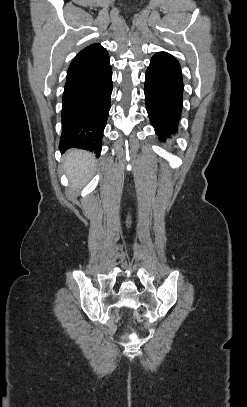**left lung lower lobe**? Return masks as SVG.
Here are the masks:
<instances>
[{"mask_svg": "<svg viewBox=\"0 0 247 407\" xmlns=\"http://www.w3.org/2000/svg\"><path fill=\"white\" fill-rule=\"evenodd\" d=\"M182 93V73L177 59L169 53L157 52L145 76V101L150 122L162 142L177 131Z\"/></svg>", "mask_w": 247, "mask_h": 407, "instance_id": "1", "label": "left lung lower lobe"}]
</instances>
